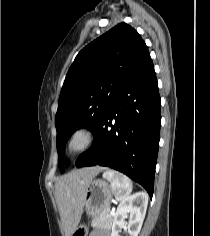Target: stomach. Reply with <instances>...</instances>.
I'll list each match as a JSON object with an SVG mask.
<instances>
[{
	"label": "stomach",
	"mask_w": 210,
	"mask_h": 236,
	"mask_svg": "<svg viewBox=\"0 0 210 236\" xmlns=\"http://www.w3.org/2000/svg\"><path fill=\"white\" fill-rule=\"evenodd\" d=\"M114 191L105 180H92L85 192L84 208L89 217H96L110 206ZM71 236H88V226L79 225Z\"/></svg>",
	"instance_id": "0dacf381"
}]
</instances>
